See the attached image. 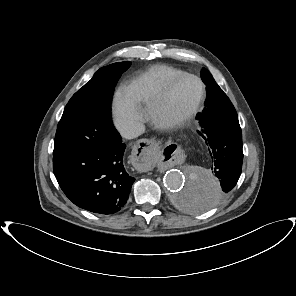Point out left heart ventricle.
I'll return each mask as SVG.
<instances>
[{"label":"left heart ventricle","mask_w":296,"mask_h":296,"mask_svg":"<svg viewBox=\"0 0 296 296\" xmlns=\"http://www.w3.org/2000/svg\"><path fill=\"white\" fill-rule=\"evenodd\" d=\"M200 88L191 78L180 81L172 90L163 114L169 118L180 117L188 112L198 99Z\"/></svg>","instance_id":"obj_1"}]
</instances>
